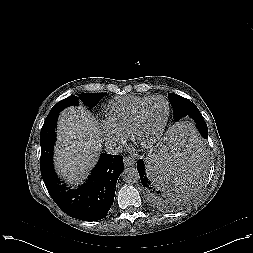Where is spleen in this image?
I'll use <instances>...</instances> for the list:
<instances>
[{"label":"spleen","instance_id":"obj_1","mask_svg":"<svg viewBox=\"0 0 253 253\" xmlns=\"http://www.w3.org/2000/svg\"><path fill=\"white\" fill-rule=\"evenodd\" d=\"M147 165L163 194L181 197L192 192L202 174V154L194 131L185 126L168 130Z\"/></svg>","mask_w":253,"mask_h":253}]
</instances>
